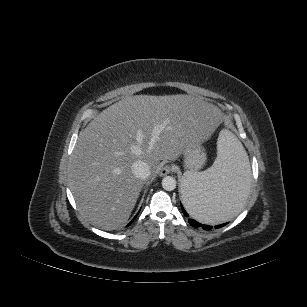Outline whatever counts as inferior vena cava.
<instances>
[{
	"label": "inferior vena cava",
	"instance_id": "602c4592",
	"mask_svg": "<svg viewBox=\"0 0 307 307\" xmlns=\"http://www.w3.org/2000/svg\"><path fill=\"white\" fill-rule=\"evenodd\" d=\"M132 173L140 179H146L150 176V166L142 161V160H138L136 162L133 163L132 167H131Z\"/></svg>",
	"mask_w": 307,
	"mask_h": 307
}]
</instances>
